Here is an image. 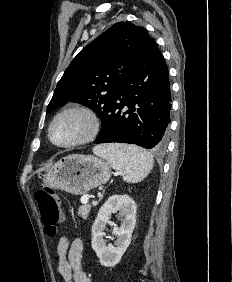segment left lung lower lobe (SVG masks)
I'll return each instance as SVG.
<instances>
[{
	"instance_id": "1",
	"label": "left lung lower lobe",
	"mask_w": 232,
	"mask_h": 282,
	"mask_svg": "<svg viewBox=\"0 0 232 282\" xmlns=\"http://www.w3.org/2000/svg\"><path fill=\"white\" fill-rule=\"evenodd\" d=\"M124 106L127 111H122ZM171 90L168 67L154 39L102 120L96 143L120 142L162 149L168 141Z\"/></svg>"
}]
</instances>
